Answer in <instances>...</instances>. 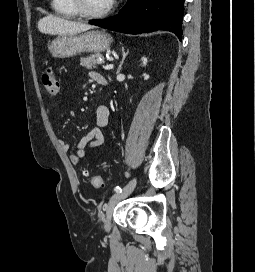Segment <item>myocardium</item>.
<instances>
[{
  "label": "myocardium",
  "mask_w": 255,
  "mask_h": 272,
  "mask_svg": "<svg viewBox=\"0 0 255 272\" xmlns=\"http://www.w3.org/2000/svg\"><path fill=\"white\" fill-rule=\"evenodd\" d=\"M71 1H72V5H73L74 9L77 11V13L80 16L85 17V18H89V19H98V18L106 17L113 11V8H114V2L112 0L109 7L106 8L104 11L94 13V12H90L86 9L84 0H71Z\"/></svg>",
  "instance_id": "myocardium-1"
}]
</instances>
